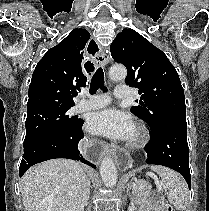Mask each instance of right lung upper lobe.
<instances>
[{
	"label": "right lung upper lobe",
	"mask_w": 209,
	"mask_h": 211,
	"mask_svg": "<svg viewBox=\"0 0 209 211\" xmlns=\"http://www.w3.org/2000/svg\"><path fill=\"white\" fill-rule=\"evenodd\" d=\"M89 38L87 30L74 29L62 42L46 52L32 75L27 112L75 105L74 90L85 86L87 76L94 70L93 63L85 58Z\"/></svg>",
	"instance_id": "obj_1"
}]
</instances>
